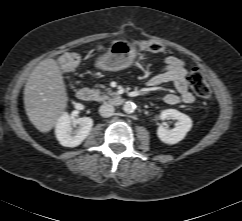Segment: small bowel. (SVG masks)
<instances>
[{
	"label": "small bowel",
	"mask_w": 242,
	"mask_h": 221,
	"mask_svg": "<svg viewBox=\"0 0 242 221\" xmlns=\"http://www.w3.org/2000/svg\"><path fill=\"white\" fill-rule=\"evenodd\" d=\"M186 76L185 62L178 57L169 56L164 59L163 69L151 76L147 81V85L155 87L171 83L175 87L177 94L168 93L163 96V101L168 105H176L180 102L191 104L195 101V97L188 88Z\"/></svg>",
	"instance_id": "small-bowel-1"
}]
</instances>
